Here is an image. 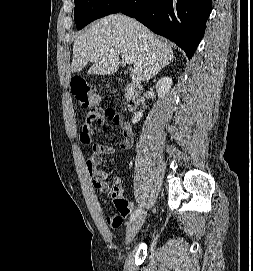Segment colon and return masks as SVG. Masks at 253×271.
I'll return each mask as SVG.
<instances>
[{"label": "colon", "mask_w": 253, "mask_h": 271, "mask_svg": "<svg viewBox=\"0 0 253 271\" xmlns=\"http://www.w3.org/2000/svg\"><path fill=\"white\" fill-rule=\"evenodd\" d=\"M73 95L82 107H98L101 102V96L98 91L89 86L85 81L80 78H74L71 82ZM105 116L107 118L119 121V115L113 110H106ZM111 197L114 204L119 211V214H111L107 217V222L111 227H117L122 223L121 213L126 210V201L121 195L118 185H114L110 189Z\"/></svg>", "instance_id": "5ec220e1"}]
</instances>
